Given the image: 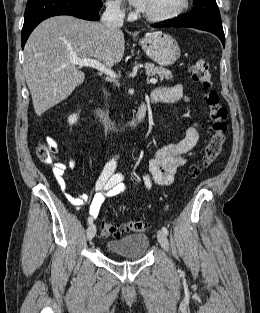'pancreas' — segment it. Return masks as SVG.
Listing matches in <instances>:
<instances>
[{"label":"pancreas","mask_w":260,"mask_h":313,"mask_svg":"<svg viewBox=\"0 0 260 313\" xmlns=\"http://www.w3.org/2000/svg\"><path fill=\"white\" fill-rule=\"evenodd\" d=\"M144 68L146 70L147 75H151V76L157 75L160 78V80H163V79L169 80V79H172L173 77L170 70L163 68V67H157L154 64L149 63V62L144 64Z\"/></svg>","instance_id":"pancreas-1"}]
</instances>
